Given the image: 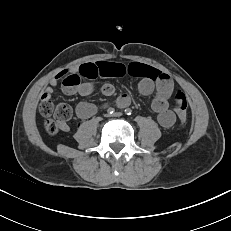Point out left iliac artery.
<instances>
[{"instance_id":"1","label":"left iliac artery","mask_w":231,"mask_h":231,"mask_svg":"<svg viewBox=\"0 0 231 231\" xmlns=\"http://www.w3.org/2000/svg\"><path fill=\"white\" fill-rule=\"evenodd\" d=\"M125 113L127 115H131L132 114V110L130 108H127V109H125Z\"/></svg>"}]
</instances>
